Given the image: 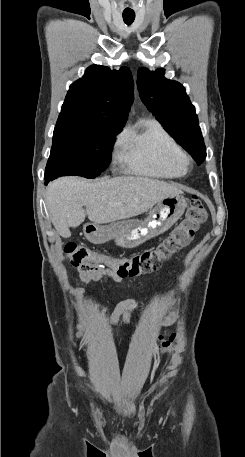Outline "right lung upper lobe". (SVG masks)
Here are the masks:
<instances>
[{"label":"right lung upper lobe","instance_id":"1","mask_svg":"<svg viewBox=\"0 0 245 457\" xmlns=\"http://www.w3.org/2000/svg\"><path fill=\"white\" fill-rule=\"evenodd\" d=\"M132 102L133 80L127 67L116 71L91 65L70 85L60 116L125 122Z\"/></svg>","mask_w":245,"mask_h":457}]
</instances>
